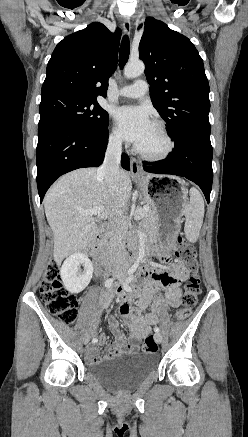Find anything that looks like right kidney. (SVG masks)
<instances>
[{"mask_svg": "<svg viewBox=\"0 0 248 437\" xmlns=\"http://www.w3.org/2000/svg\"><path fill=\"white\" fill-rule=\"evenodd\" d=\"M83 265L84 270H80ZM60 275L66 290L77 294L83 291L89 284L93 275V266L84 253L70 255L60 269Z\"/></svg>", "mask_w": 248, "mask_h": 437, "instance_id": "ca27d5eb", "label": "right kidney"}]
</instances>
